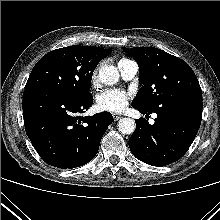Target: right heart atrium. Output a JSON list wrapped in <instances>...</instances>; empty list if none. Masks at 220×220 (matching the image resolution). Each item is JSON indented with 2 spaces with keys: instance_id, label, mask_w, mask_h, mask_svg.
Instances as JSON below:
<instances>
[{
  "instance_id": "obj_1",
  "label": "right heart atrium",
  "mask_w": 220,
  "mask_h": 220,
  "mask_svg": "<svg viewBox=\"0 0 220 220\" xmlns=\"http://www.w3.org/2000/svg\"><path fill=\"white\" fill-rule=\"evenodd\" d=\"M97 80V72H94L92 75V81L95 82Z\"/></svg>"
}]
</instances>
